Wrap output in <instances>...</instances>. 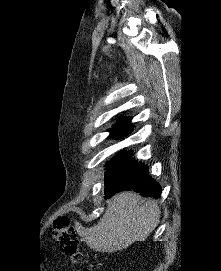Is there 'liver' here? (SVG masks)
I'll return each instance as SVG.
<instances>
[{
  "mask_svg": "<svg viewBox=\"0 0 221 271\" xmlns=\"http://www.w3.org/2000/svg\"><path fill=\"white\" fill-rule=\"evenodd\" d=\"M160 219L155 199L142 203L135 191H120L108 203L105 213L93 227H79L81 241L96 251H119L134 241H144Z\"/></svg>",
  "mask_w": 221,
  "mask_h": 271,
  "instance_id": "obj_1",
  "label": "liver"
}]
</instances>
